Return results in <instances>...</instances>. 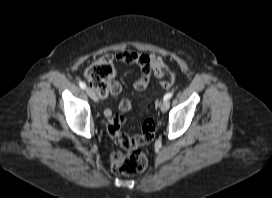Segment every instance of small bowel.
<instances>
[{"label": "small bowel", "mask_w": 272, "mask_h": 198, "mask_svg": "<svg viewBox=\"0 0 272 198\" xmlns=\"http://www.w3.org/2000/svg\"><path fill=\"white\" fill-rule=\"evenodd\" d=\"M118 56L120 57V62L136 64L144 70V74L138 79L143 78L145 75H147L149 78L152 76L156 78H161L164 75L165 63L162 59L158 57H155L153 55L140 54L133 51H121L118 53ZM135 88L137 87L135 86ZM120 91V83L117 81H113L112 93L110 95H117L120 93ZM119 109L123 112L129 111L131 109V102L128 99L122 100L119 103ZM104 115L107 118H111L113 112L111 109L107 108L104 110Z\"/></svg>", "instance_id": "1"}]
</instances>
